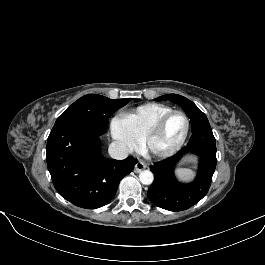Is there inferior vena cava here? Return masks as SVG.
Returning <instances> with one entry per match:
<instances>
[{
	"mask_svg": "<svg viewBox=\"0 0 265 265\" xmlns=\"http://www.w3.org/2000/svg\"><path fill=\"white\" fill-rule=\"evenodd\" d=\"M109 155L117 160H123L129 156L131 150L128 146L120 141H114L109 145Z\"/></svg>",
	"mask_w": 265,
	"mask_h": 265,
	"instance_id": "obj_1",
	"label": "inferior vena cava"
}]
</instances>
